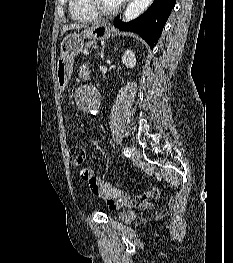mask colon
Listing matches in <instances>:
<instances>
[{"label":"colon","mask_w":233,"mask_h":263,"mask_svg":"<svg viewBox=\"0 0 233 263\" xmlns=\"http://www.w3.org/2000/svg\"><path fill=\"white\" fill-rule=\"evenodd\" d=\"M70 163L79 167L82 166L86 159V152L80 146H73L69 150ZM85 168V167H83ZM82 168V169H83ZM84 175L88 176L87 171H84ZM119 192V201L128 207H140L145 205L149 200L159 199L162 192L158 188H153L151 190L145 191L140 195L135 197H130L125 191H123L118 185L113 186Z\"/></svg>","instance_id":"1"}]
</instances>
